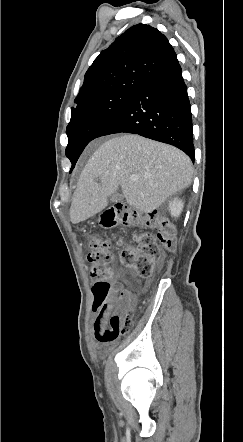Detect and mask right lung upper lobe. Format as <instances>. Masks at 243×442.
<instances>
[{
    "label": "right lung upper lobe",
    "instance_id": "right-lung-upper-lobe-1",
    "mask_svg": "<svg viewBox=\"0 0 243 442\" xmlns=\"http://www.w3.org/2000/svg\"><path fill=\"white\" fill-rule=\"evenodd\" d=\"M175 58L160 31L142 23L134 25L94 60L75 103L79 106L111 92L135 90Z\"/></svg>",
    "mask_w": 243,
    "mask_h": 442
}]
</instances>
